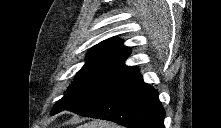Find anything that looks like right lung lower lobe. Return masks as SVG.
Instances as JSON below:
<instances>
[{"label": "right lung lower lobe", "mask_w": 221, "mask_h": 128, "mask_svg": "<svg viewBox=\"0 0 221 128\" xmlns=\"http://www.w3.org/2000/svg\"><path fill=\"white\" fill-rule=\"evenodd\" d=\"M69 111L109 120L128 128H164L165 111L158 92L143 81L140 72L100 98Z\"/></svg>", "instance_id": "98d812e1"}]
</instances>
